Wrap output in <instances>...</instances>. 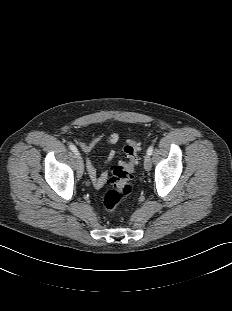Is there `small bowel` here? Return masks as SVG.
<instances>
[{
  "mask_svg": "<svg viewBox=\"0 0 232 311\" xmlns=\"http://www.w3.org/2000/svg\"><path fill=\"white\" fill-rule=\"evenodd\" d=\"M119 138H120L119 134L114 132L110 134V136L108 137L107 144L113 145L118 142ZM101 139H102V135H98L94 137L92 140H90L89 142L80 141L79 144L85 153H89L101 141ZM114 156H115V152L111 151L107 157L106 163L110 162ZM86 165H87V169H88L90 178L94 186L97 188L102 187L107 180V174L103 173L101 174V176L98 177L97 167L93 164V162L90 159L86 160Z\"/></svg>",
  "mask_w": 232,
  "mask_h": 311,
  "instance_id": "obj_1",
  "label": "small bowel"
}]
</instances>
